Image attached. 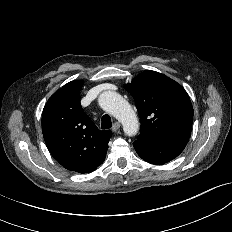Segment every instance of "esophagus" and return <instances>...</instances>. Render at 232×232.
<instances>
[{"label":"esophagus","mask_w":232,"mask_h":232,"mask_svg":"<svg viewBox=\"0 0 232 232\" xmlns=\"http://www.w3.org/2000/svg\"><path fill=\"white\" fill-rule=\"evenodd\" d=\"M119 128H120V123L115 122L111 129H112L113 132H116Z\"/></svg>","instance_id":"obj_1"}]
</instances>
